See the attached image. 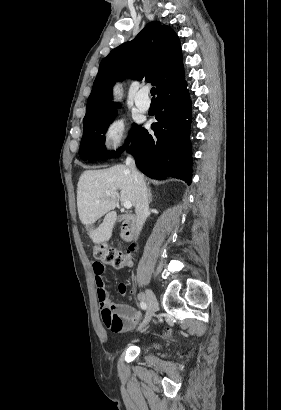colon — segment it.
Here are the masks:
<instances>
[{
    "label": "colon",
    "instance_id": "5ec220e1",
    "mask_svg": "<svg viewBox=\"0 0 281 410\" xmlns=\"http://www.w3.org/2000/svg\"><path fill=\"white\" fill-rule=\"evenodd\" d=\"M95 257L106 265H110L114 268H122L125 265L131 263L130 255H125L122 252L113 250L105 245H98L94 251ZM105 326L111 331L116 330L122 326L121 319L115 314H111L108 311L102 313ZM171 331L168 329L165 331V335L169 336Z\"/></svg>",
    "mask_w": 281,
    "mask_h": 410
}]
</instances>
